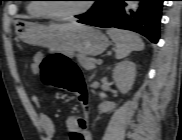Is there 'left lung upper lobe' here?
Masks as SVG:
<instances>
[{
	"label": "left lung upper lobe",
	"instance_id": "left-lung-upper-lobe-1",
	"mask_svg": "<svg viewBox=\"0 0 182 140\" xmlns=\"http://www.w3.org/2000/svg\"><path fill=\"white\" fill-rule=\"evenodd\" d=\"M100 0H97V3L99 2ZM97 3L94 5V6H96L97 5Z\"/></svg>",
	"mask_w": 182,
	"mask_h": 140
}]
</instances>
